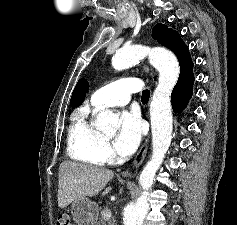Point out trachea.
Here are the masks:
<instances>
[{
  "label": "trachea",
  "mask_w": 237,
  "mask_h": 225,
  "mask_svg": "<svg viewBox=\"0 0 237 225\" xmlns=\"http://www.w3.org/2000/svg\"><path fill=\"white\" fill-rule=\"evenodd\" d=\"M149 97H150V91L149 90H144L142 92V101H148L149 100Z\"/></svg>",
  "instance_id": "3493384b"
}]
</instances>
